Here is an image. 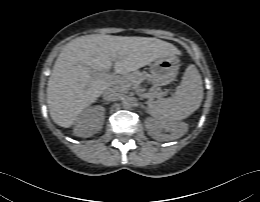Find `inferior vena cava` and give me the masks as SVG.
<instances>
[{
  "instance_id": "obj_1",
  "label": "inferior vena cava",
  "mask_w": 260,
  "mask_h": 202,
  "mask_svg": "<svg viewBox=\"0 0 260 202\" xmlns=\"http://www.w3.org/2000/svg\"><path fill=\"white\" fill-rule=\"evenodd\" d=\"M122 91L118 87L108 88L103 92V99L106 101H117L122 97Z\"/></svg>"
}]
</instances>
